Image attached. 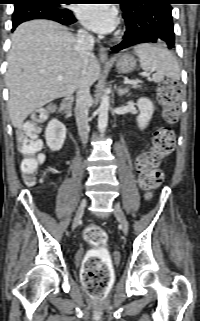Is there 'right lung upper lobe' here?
I'll return each instance as SVG.
<instances>
[{
	"mask_svg": "<svg viewBox=\"0 0 200 321\" xmlns=\"http://www.w3.org/2000/svg\"><path fill=\"white\" fill-rule=\"evenodd\" d=\"M15 1H16L15 6H18V5L30 4L31 2L36 0H15Z\"/></svg>",
	"mask_w": 200,
	"mask_h": 321,
	"instance_id": "obj_1",
	"label": "right lung upper lobe"
}]
</instances>
